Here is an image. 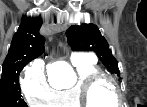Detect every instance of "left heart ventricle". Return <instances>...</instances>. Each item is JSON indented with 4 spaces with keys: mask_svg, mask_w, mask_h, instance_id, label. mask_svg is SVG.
<instances>
[{
    "mask_svg": "<svg viewBox=\"0 0 147 107\" xmlns=\"http://www.w3.org/2000/svg\"><path fill=\"white\" fill-rule=\"evenodd\" d=\"M94 107H112L117 103V96L113 86L108 82L98 84L91 93Z\"/></svg>",
    "mask_w": 147,
    "mask_h": 107,
    "instance_id": "1",
    "label": "left heart ventricle"
}]
</instances>
